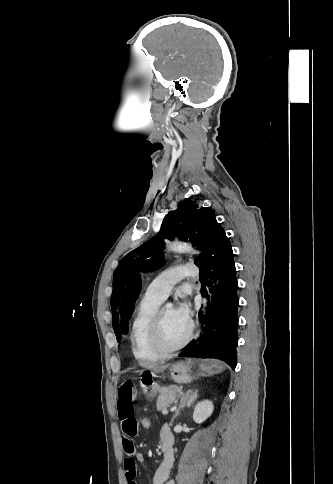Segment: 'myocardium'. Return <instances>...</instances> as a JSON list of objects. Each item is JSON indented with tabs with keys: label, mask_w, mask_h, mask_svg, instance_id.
<instances>
[{
	"label": "myocardium",
	"mask_w": 333,
	"mask_h": 484,
	"mask_svg": "<svg viewBox=\"0 0 333 484\" xmlns=\"http://www.w3.org/2000/svg\"><path fill=\"white\" fill-rule=\"evenodd\" d=\"M164 309H159L152 320L150 328V343L153 350L162 357L169 356L181 349H183L192 339L193 325L190 323L186 337L175 346H167L163 337V312Z\"/></svg>",
	"instance_id": "myocardium-1"
}]
</instances>
